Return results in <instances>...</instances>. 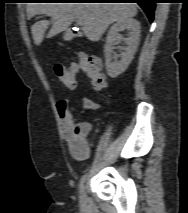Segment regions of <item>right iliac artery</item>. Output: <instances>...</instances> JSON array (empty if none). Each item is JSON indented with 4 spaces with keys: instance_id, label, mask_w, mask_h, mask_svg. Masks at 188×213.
<instances>
[{
    "instance_id": "obj_1",
    "label": "right iliac artery",
    "mask_w": 188,
    "mask_h": 213,
    "mask_svg": "<svg viewBox=\"0 0 188 213\" xmlns=\"http://www.w3.org/2000/svg\"><path fill=\"white\" fill-rule=\"evenodd\" d=\"M86 177H87L86 174H84V175L81 177V179H80V184H79V187H80V188L83 186V184H84V182H85V180H86Z\"/></svg>"
}]
</instances>
